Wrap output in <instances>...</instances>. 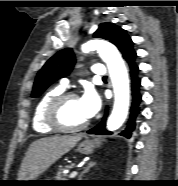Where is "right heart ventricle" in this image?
<instances>
[{
    "mask_svg": "<svg viewBox=\"0 0 178 186\" xmlns=\"http://www.w3.org/2000/svg\"><path fill=\"white\" fill-rule=\"evenodd\" d=\"M64 92V88L59 86L49 90L35 105L32 115V127L39 134H51L54 132L44 121V112L50 101Z\"/></svg>",
    "mask_w": 178,
    "mask_h": 186,
    "instance_id": "1",
    "label": "right heart ventricle"
}]
</instances>
